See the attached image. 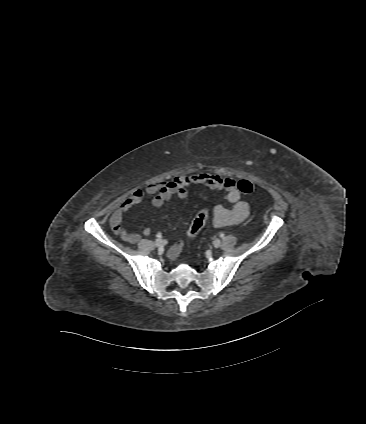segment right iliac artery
<instances>
[{"mask_svg":"<svg viewBox=\"0 0 366 424\" xmlns=\"http://www.w3.org/2000/svg\"><path fill=\"white\" fill-rule=\"evenodd\" d=\"M157 237L160 238L161 237V234H157Z\"/></svg>","mask_w":366,"mask_h":424,"instance_id":"right-iliac-artery-1","label":"right iliac artery"}]
</instances>
